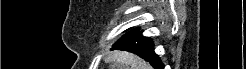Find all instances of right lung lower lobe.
Wrapping results in <instances>:
<instances>
[{"label": "right lung lower lobe", "mask_w": 246, "mask_h": 69, "mask_svg": "<svg viewBox=\"0 0 246 69\" xmlns=\"http://www.w3.org/2000/svg\"><path fill=\"white\" fill-rule=\"evenodd\" d=\"M112 49L125 50L137 54L144 60L149 61L155 69H164L160 58L153 51V43L150 39L142 36L140 31L132 30L122 36Z\"/></svg>", "instance_id": "98d812e1"}]
</instances>
